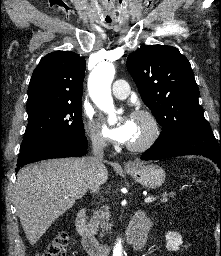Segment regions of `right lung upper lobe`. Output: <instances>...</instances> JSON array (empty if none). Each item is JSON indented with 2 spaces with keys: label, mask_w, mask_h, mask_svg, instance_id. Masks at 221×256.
<instances>
[{
  "label": "right lung upper lobe",
  "mask_w": 221,
  "mask_h": 256,
  "mask_svg": "<svg viewBox=\"0 0 221 256\" xmlns=\"http://www.w3.org/2000/svg\"><path fill=\"white\" fill-rule=\"evenodd\" d=\"M84 73L85 59L78 54L71 51L47 54L32 74L26 108L81 103Z\"/></svg>",
  "instance_id": "cb5924a9"
}]
</instances>
